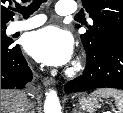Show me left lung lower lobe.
<instances>
[{
	"mask_svg": "<svg viewBox=\"0 0 123 113\" xmlns=\"http://www.w3.org/2000/svg\"><path fill=\"white\" fill-rule=\"evenodd\" d=\"M85 50L83 75L67 82L65 91L83 92L104 87L123 90V35H115L96 48Z\"/></svg>",
	"mask_w": 123,
	"mask_h": 113,
	"instance_id": "obj_1",
	"label": "left lung lower lobe"
}]
</instances>
